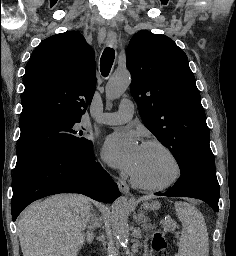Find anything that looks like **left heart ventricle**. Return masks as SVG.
<instances>
[{
  "label": "left heart ventricle",
  "mask_w": 236,
  "mask_h": 256,
  "mask_svg": "<svg viewBox=\"0 0 236 256\" xmlns=\"http://www.w3.org/2000/svg\"><path fill=\"white\" fill-rule=\"evenodd\" d=\"M175 172L171 158L157 147L142 146L131 174L146 185H159L168 181Z\"/></svg>",
  "instance_id": "left-heart-ventricle-1"
}]
</instances>
